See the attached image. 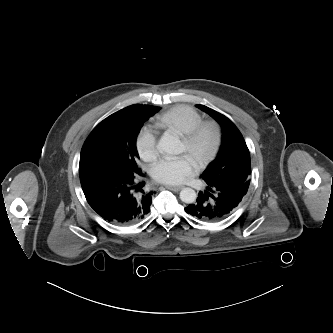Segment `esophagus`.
<instances>
[{"label": "esophagus", "mask_w": 333, "mask_h": 333, "mask_svg": "<svg viewBox=\"0 0 333 333\" xmlns=\"http://www.w3.org/2000/svg\"><path fill=\"white\" fill-rule=\"evenodd\" d=\"M166 188L169 189V190H171V191L178 192V191H180L183 187H182V186H170V185H167Z\"/></svg>", "instance_id": "obj_1"}]
</instances>
